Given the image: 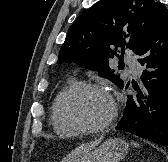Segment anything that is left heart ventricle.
Wrapping results in <instances>:
<instances>
[{"instance_id": "obj_1", "label": "left heart ventricle", "mask_w": 168, "mask_h": 162, "mask_svg": "<svg viewBox=\"0 0 168 162\" xmlns=\"http://www.w3.org/2000/svg\"><path fill=\"white\" fill-rule=\"evenodd\" d=\"M67 112L72 118L85 125H98L110 116L112 102L102 92L82 90L68 100Z\"/></svg>"}]
</instances>
